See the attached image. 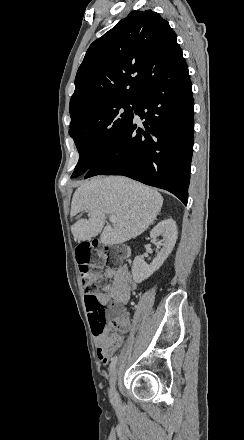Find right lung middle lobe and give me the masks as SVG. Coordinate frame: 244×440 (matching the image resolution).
<instances>
[{"mask_svg": "<svg viewBox=\"0 0 244 440\" xmlns=\"http://www.w3.org/2000/svg\"><path fill=\"white\" fill-rule=\"evenodd\" d=\"M136 98H108L70 110L69 134L80 154L72 178L86 173L131 122Z\"/></svg>", "mask_w": 244, "mask_h": 440, "instance_id": "dd1d6c3e", "label": "right lung middle lobe"}]
</instances>
